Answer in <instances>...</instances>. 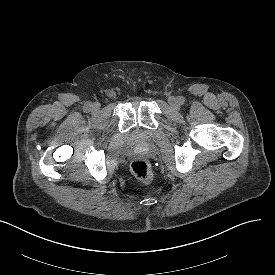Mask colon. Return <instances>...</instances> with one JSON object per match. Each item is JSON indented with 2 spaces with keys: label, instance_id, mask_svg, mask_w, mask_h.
<instances>
[{
  "label": "colon",
  "instance_id": "5ec220e1",
  "mask_svg": "<svg viewBox=\"0 0 275 275\" xmlns=\"http://www.w3.org/2000/svg\"><path fill=\"white\" fill-rule=\"evenodd\" d=\"M133 174L143 183H150L153 178V172L149 162L145 159H136L131 164Z\"/></svg>",
  "mask_w": 275,
  "mask_h": 275
}]
</instances>
